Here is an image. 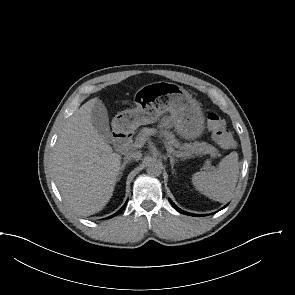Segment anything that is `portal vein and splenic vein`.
<instances>
[{"label": "portal vein and splenic vein", "mask_w": 295, "mask_h": 295, "mask_svg": "<svg viewBox=\"0 0 295 295\" xmlns=\"http://www.w3.org/2000/svg\"><path fill=\"white\" fill-rule=\"evenodd\" d=\"M145 141L146 140H144L143 138L142 139H140V140H138V141H136L134 144H133V146L134 147H137V148H141L143 145H144V143H145ZM163 143H164V146H165V148H166V150L169 152V153H172L173 155H175V156H182V154H178V152L177 151H175L167 142H165V141H163ZM188 154V153H187ZM186 154V155H187ZM185 155V154H184ZM205 166L207 167V168H210V166H211V161H210V159H207L206 161H205Z\"/></svg>", "instance_id": "1"}]
</instances>
